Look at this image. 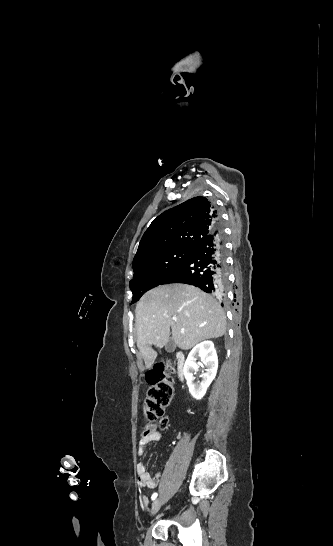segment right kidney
Masks as SVG:
<instances>
[{
    "label": "right kidney",
    "mask_w": 333,
    "mask_h": 546,
    "mask_svg": "<svg viewBox=\"0 0 333 546\" xmlns=\"http://www.w3.org/2000/svg\"><path fill=\"white\" fill-rule=\"evenodd\" d=\"M197 357H201L204 366L206 367L205 372L202 374L201 382H194V375L198 370ZM218 368V358L217 353L214 348V344L211 341H204L196 345L191 352L189 353L183 368V374L185 376L187 386L189 388L190 394L196 400L201 399L213 379L216 376Z\"/></svg>",
    "instance_id": "obj_1"
}]
</instances>
